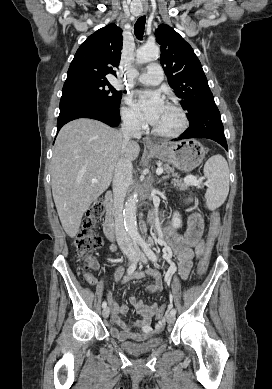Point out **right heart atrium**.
I'll return each mask as SVG.
<instances>
[{"label":"right heart atrium","instance_id":"right-heart-atrium-1","mask_svg":"<svg viewBox=\"0 0 272 389\" xmlns=\"http://www.w3.org/2000/svg\"><path fill=\"white\" fill-rule=\"evenodd\" d=\"M121 117L124 123L133 129H141L144 125L141 113L130 103L128 98L123 99Z\"/></svg>","mask_w":272,"mask_h":389}]
</instances>
